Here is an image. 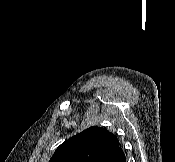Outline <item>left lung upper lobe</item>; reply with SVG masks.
Instances as JSON below:
<instances>
[{"mask_svg": "<svg viewBox=\"0 0 175 162\" xmlns=\"http://www.w3.org/2000/svg\"><path fill=\"white\" fill-rule=\"evenodd\" d=\"M118 146L113 133L93 126L62 143L49 162H105Z\"/></svg>", "mask_w": 175, "mask_h": 162, "instance_id": "1", "label": "left lung upper lobe"}]
</instances>
